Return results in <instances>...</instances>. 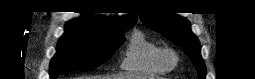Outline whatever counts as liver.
<instances>
[{"label":"liver","instance_id":"1","mask_svg":"<svg viewBox=\"0 0 255 79\" xmlns=\"http://www.w3.org/2000/svg\"><path fill=\"white\" fill-rule=\"evenodd\" d=\"M80 79H147V77L131 76V75H112V76L82 77Z\"/></svg>","mask_w":255,"mask_h":79}]
</instances>
